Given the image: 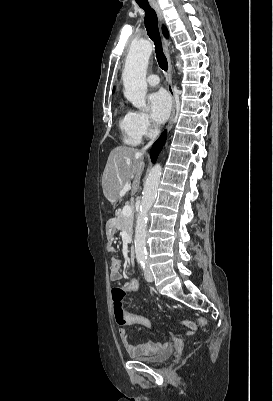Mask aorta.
I'll list each match as a JSON object with an SVG mask.
<instances>
[{"label":"aorta","mask_w":273,"mask_h":401,"mask_svg":"<svg viewBox=\"0 0 273 401\" xmlns=\"http://www.w3.org/2000/svg\"><path fill=\"white\" fill-rule=\"evenodd\" d=\"M152 43L142 40L133 44L126 58L124 71L122 74L124 84V95L132 105L140 110L146 109V71L148 61L152 53ZM176 66L180 69L181 64L177 61ZM162 174V167L156 164L148 174L143 189L140 210L137 215L135 226V253L136 258L143 260L146 258V226L148 213L153 205Z\"/></svg>","instance_id":"obj_1"}]
</instances>
